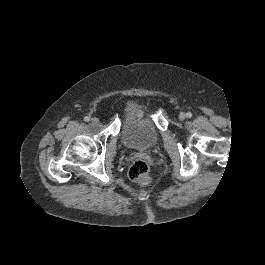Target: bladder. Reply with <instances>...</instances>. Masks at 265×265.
<instances>
[{
	"label": "bladder",
	"instance_id": "obj_1",
	"mask_svg": "<svg viewBox=\"0 0 265 265\" xmlns=\"http://www.w3.org/2000/svg\"><path fill=\"white\" fill-rule=\"evenodd\" d=\"M122 140L131 149L146 150L157 145L159 133L151 122L130 116L123 125Z\"/></svg>",
	"mask_w": 265,
	"mask_h": 265
}]
</instances>
